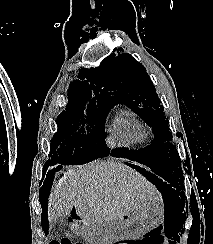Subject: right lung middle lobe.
Returning <instances> with one entry per match:
<instances>
[{"instance_id": "right-lung-middle-lobe-1", "label": "right lung middle lobe", "mask_w": 213, "mask_h": 244, "mask_svg": "<svg viewBox=\"0 0 213 244\" xmlns=\"http://www.w3.org/2000/svg\"><path fill=\"white\" fill-rule=\"evenodd\" d=\"M108 112L66 108L57 117L58 129L50 144L51 160L46 162L45 167L83 164L109 155L110 149L104 141L103 131ZM115 153L113 151L111 155L117 156Z\"/></svg>"}]
</instances>
